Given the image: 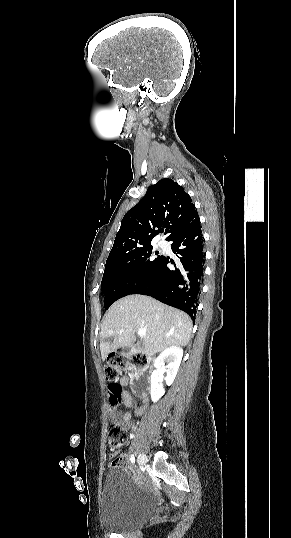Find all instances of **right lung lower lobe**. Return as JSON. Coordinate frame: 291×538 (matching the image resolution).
Returning a JSON list of instances; mask_svg holds the SVG:
<instances>
[{
    "mask_svg": "<svg viewBox=\"0 0 291 538\" xmlns=\"http://www.w3.org/2000/svg\"><path fill=\"white\" fill-rule=\"evenodd\" d=\"M172 250L178 257L174 269H169V257L162 256L143 283L132 294L151 296L167 305L181 309L193 319L201 293L205 253L200 222L172 237Z\"/></svg>",
    "mask_w": 291,
    "mask_h": 538,
    "instance_id": "right-lung-lower-lobe-1",
    "label": "right lung lower lobe"
}]
</instances>
